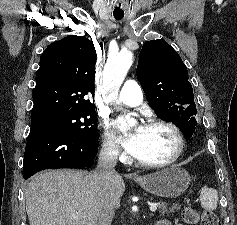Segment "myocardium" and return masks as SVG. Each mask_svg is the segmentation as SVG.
I'll list each match as a JSON object with an SVG mask.
<instances>
[{"label": "myocardium", "instance_id": "obj_1", "mask_svg": "<svg viewBox=\"0 0 237 225\" xmlns=\"http://www.w3.org/2000/svg\"><path fill=\"white\" fill-rule=\"evenodd\" d=\"M145 126H148V127L159 126V127H164L170 130L176 139V148H175L174 153L165 160L152 162V161H145L136 157L135 159L137 163L144 167L162 168V167L171 165L176 160H178V158L183 153L184 147H185V141H184V137L181 130L174 123L163 120V119H151L146 123Z\"/></svg>", "mask_w": 237, "mask_h": 225}]
</instances>
